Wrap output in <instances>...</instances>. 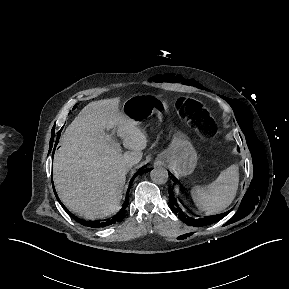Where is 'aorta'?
Instances as JSON below:
<instances>
[{
  "label": "aorta",
  "mask_w": 289,
  "mask_h": 289,
  "mask_svg": "<svg viewBox=\"0 0 289 289\" xmlns=\"http://www.w3.org/2000/svg\"><path fill=\"white\" fill-rule=\"evenodd\" d=\"M151 180L155 184H165L168 181V171L163 167H156L150 172Z\"/></svg>",
  "instance_id": "762f6f07"
}]
</instances>
